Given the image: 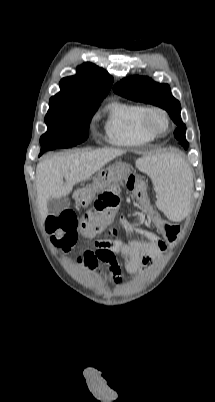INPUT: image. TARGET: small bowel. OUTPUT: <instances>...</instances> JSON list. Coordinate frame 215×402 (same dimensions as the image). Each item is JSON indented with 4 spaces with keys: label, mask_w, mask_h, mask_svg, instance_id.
Returning a JSON list of instances; mask_svg holds the SVG:
<instances>
[{
    "label": "small bowel",
    "mask_w": 215,
    "mask_h": 402,
    "mask_svg": "<svg viewBox=\"0 0 215 402\" xmlns=\"http://www.w3.org/2000/svg\"><path fill=\"white\" fill-rule=\"evenodd\" d=\"M120 225L123 231L136 232L138 237L123 241L113 237L116 234L113 230L111 236L95 241L96 250L85 251L81 258V261L91 270H97L99 263L107 264L108 272L115 285L121 283V266L117 256L125 260L129 273L135 275L167 250V243L153 231L134 227L127 221Z\"/></svg>",
    "instance_id": "small-bowel-1"
}]
</instances>
